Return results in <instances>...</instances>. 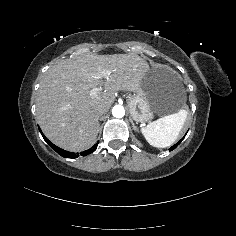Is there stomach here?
<instances>
[{"label": "stomach", "mask_w": 236, "mask_h": 236, "mask_svg": "<svg viewBox=\"0 0 236 236\" xmlns=\"http://www.w3.org/2000/svg\"><path fill=\"white\" fill-rule=\"evenodd\" d=\"M185 103L186 92L181 80L163 68L149 69L128 100L130 116L139 123L151 121L154 114L172 115Z\"/></svg>", "instance_id": "0dacf381"}]
</instances>
